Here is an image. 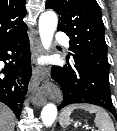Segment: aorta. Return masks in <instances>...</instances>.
I'll return each instance as SVG.
<instances>
[{"instance_id": "aorta-1", "label": "aorta", "mask_w": 117, "mask_h": 131, "mask_svg": "<svg viewBox=\"0 0 117 131\" xmlns=\"http://www.w3.org/2000/svg\"><path fill=\"white\" fill-rule=\"evenodd\" d=\"M58 24V17L53 11H46L39 18V34L43 47L48 50ZM57 116V107L53 103L46 104L41 112L43 124L50 127Z\"/></svg>"}]
</instances>
